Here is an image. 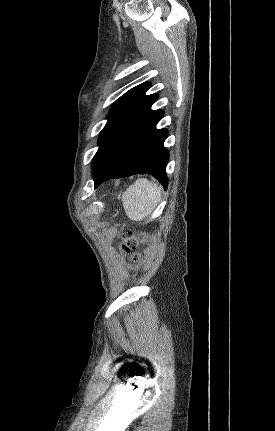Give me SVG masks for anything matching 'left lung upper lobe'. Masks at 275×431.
<instances>
[{"label": "left lung upper lobe", "instance_id": "obj_1", "mask_svg": "<svg viewBox=\"0 0 275 431\" xmlns=\"http://www.w3.org/2000/svg\"><path fill=\"white\" fill-rule=\"evenodd\" d=\"M150 86L149 82L135 86L113 103L108 121L99 135L94 175L105 171L121 150L161 111L151 109L158 95H145Z\"/></svg>", "mask_w": 275, "mask_h": 431}]
</instances>
